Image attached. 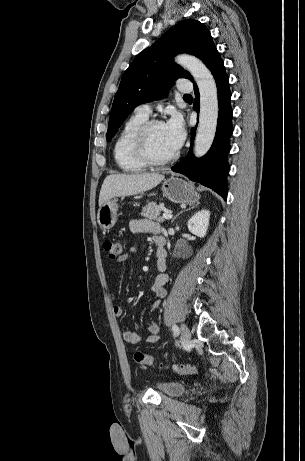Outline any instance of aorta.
Instances as JSON below:
<instances>
[{"instance_id": "1", "label": "aorta", "mask_w": 305, "mask_h": 461, "mask_svg": "<svg viewBox=\"0 0 305 461\" xmlns=\"http://www.w3.org/2000/svg\"><path fill=\"white\" fill-rule=\"evenodd\" d=\"M176 62L185 67L194 77L200 93V113L194 154L205 155L212 146L218 119V94L215 80L201 60L190 55H179Z\"/></svg>"}]
</instances>
